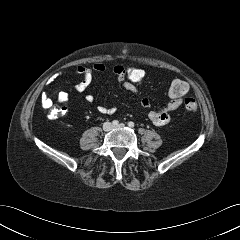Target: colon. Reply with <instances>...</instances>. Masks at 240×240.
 Masks as SVG:
<instances>
[{
    "instance_id": "colon-1",
    "label": "colon",
    "mask_w": 240,
    "mask_h": 240,
    "mask_svg": "<svg viewBox=\"0 0 240 240\" xmlns=\"http://www.w3.org/2000/svg\"><path fill=\"white\" fill-rule=\"evenodd\" d=\"M124 74L126 79L136 86H141L146 78V72L144 68L136 65L129 64L124 66ZM189 91V85L183 80H173L168 86V94L170 98H184ZM184 108L189 112H195L198 109L197 101L192 97H185L183 99ZM63 114L62 108H54L51 111V116L56 118Z\"/></svg>"
}]
</instances>
